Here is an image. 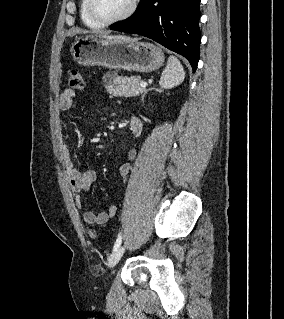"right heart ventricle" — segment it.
<instances>
[{"instance_id": "1", "label": "right heart ventricle", "mask_w": 284, "mask_h": 319, "mask_svg": "<svg viewBox=\"0 0 284 319\" xmlns=\"http://www.w3.org/2000/svg\"><path fill=\"white\" fill-rule=\"evenodd\" d=\"M79 14L81 21L85 26L91 29H100L103 26L95 22L88 14L87 11V0H80L79 4Z\"/></svg>"}]
</instances>
